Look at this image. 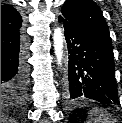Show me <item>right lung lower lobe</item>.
<instances>
[{"label": "right lung lower lobe", "instance_id": "obj_1", "mask_svg": "<svg viewBox=\"0 0 122 123\" xmlns=\"http://www.w3.org/2000/svg\"><path fill=\"white\" fill-rule=\"evenodd\" d=\"M27 46L21 26L1 25V96L11 94L16 102L26 94Z\"/></svg>", "mask_w": 122, "mask_h": 123}]
</instances>
